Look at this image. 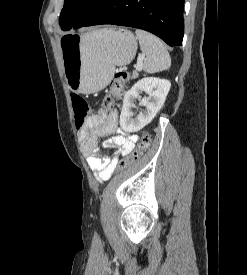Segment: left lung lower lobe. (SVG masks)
<instances>
[{
  "mask_svg": "<svg viewBox=\"0 0 247 275\" xmlns=\"http://www.w3.org/2000/svg\"><path fill=\"white\" fill-rule=\"evenodd\" d=\"M183 4L184 0H106L81 27L99 24L129 26L149 31L169 46H181Z\"/></svg>",
  "mask_w": 247,
  "mask_h": 275,
  "instance_id": "left-lung-lower-lobe-1",
  "label": "left lung lower lobe"
}]
</instances>
